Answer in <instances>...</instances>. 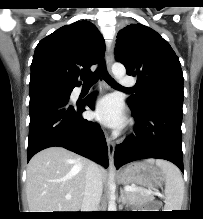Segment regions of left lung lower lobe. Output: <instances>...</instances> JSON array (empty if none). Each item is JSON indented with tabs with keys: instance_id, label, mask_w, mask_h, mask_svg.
I'll return each instance as SVG.
<instances>
[{
	"instance_id": "obj_1",
	"label": "left lung lower lobe",
	"mask_w": 203,
	"mask_h": 219,
	"mask_svg": "<svg viewBox=\"0 0 203 219\" xmlns=\"http://www.w3.org/2000/svg\"><path fill=\"white\" fill-rule=\"evenodd\" d=\"M136 120L134 132L116 146L115 166L145 158L164 159L174 163L182 172V103L154 101L141 109L128 101Z\"/></svg>"
}]
</instances>
